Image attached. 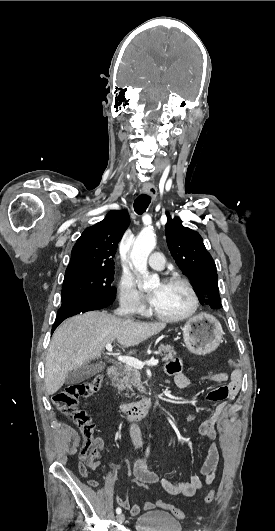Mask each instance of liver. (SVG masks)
<instances>
[{"label":"liver","instance_id":"1","mask_svg":"<svg viewBox=\"0 0 275 531\" xmlns=\"http://www.w3.org/2000/svg\"><path fill=\"white\" fill-rule=\"evenodd\" d=\"M166 323H134L119 319L107 311H89L64 321L56 329L45 363V385L48 395L57 393L67 373L79 369L92 359H99L107 343L117 341L123 347H134L165 329Z\"/></svg>","mask_w":275,"mask_h":531}]
</instances>
